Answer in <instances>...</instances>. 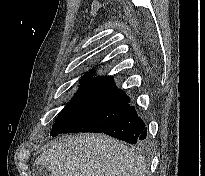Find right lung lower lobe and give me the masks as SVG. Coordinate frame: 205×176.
Returning a JSON list of instances; mask_svg holds the SVG:
<instances>
[{"instance_id": "1", "label": "right lung lower lobe", "mask_w": 205, "mask_h": 176, "mask_svg": "<svg viewBox=\"0 0 205 176\" xmlns=\"http://www.w3.org/2000/svg\"><path fill=\"white\" fill-rule=\"evenodd\" d=\"M102 133L131 144H141L147 136V128L133 106H128L125 113Z\"/></svg>"}]
</instances>
